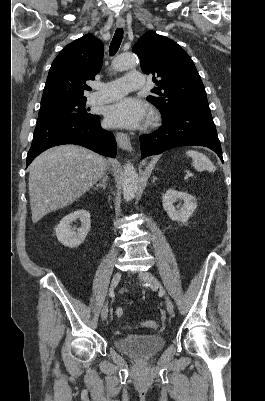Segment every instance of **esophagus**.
I'll list each match as a JSON object with an SVG mask.
<instances>
[{
  "label": "esophagus",
  "mask_w": 265,
  "mask_h": 401,
  "mask_svg": "<svg viewBox=\"0 0 265 401\" xmlns=\"http://www.w3.org/2000/svg\"><path fill=\"white\" fill-rule=\"evenodd\" d=\"M116 25L117 27L122 28L124 27L125 22L124 20H117ZM116 140L120 148H122L123 150L132 151L128 135L122 132H116Z\"/></svg>",
  "instance_id": "obj_1"
}]
</instances>
